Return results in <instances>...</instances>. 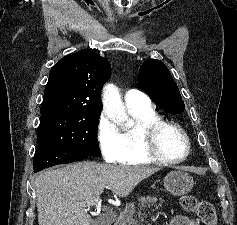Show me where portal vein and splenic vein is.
Returning <instances> with one entry per match:
<instances>
[{"label":"portal vein and splenic vein","instance_id":"18ae733b","mask_svg":"<svg viewBox=\"0 0 237 225\" xmlns=\"http://www.w3.org/2000/svg\"><path fill=\"white\" fill-rule=\"evenodd\" d=\"M101 205V200H100V196L97 195L96 197H94L93 199H91L90 201L82 204V206L84 207H88V206H99Z\"/></svg>","mask_w":237,"mask_h":225}]
</instances>
